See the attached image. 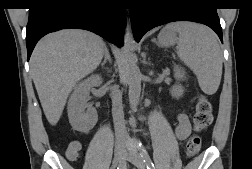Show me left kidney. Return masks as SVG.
Instances as JSON below:
<instances>
[{
  "label": "left kidney",
  "instance_id": "obj_1",
  "mask_svg": "<svg viewBox=\"0 0 252 169\" xmlns=\"http://www.w3.org/2000/svg\"><path fill=\"white\" fill-rule=\"evenodd\" d=\"M175 71H176V73H175L176 78L179 79V78L183 77L184 73L182 72L181 69L176 67ZM170 92H171L172 97L179 98L180 96L183 95L184 89H183V87L181 85H175V86L172 87Z\"/></svg>",
  "mask_w": 252,
  "mask_h": 169
}]
</instances>
